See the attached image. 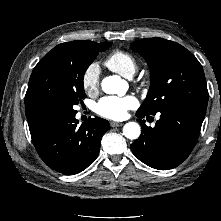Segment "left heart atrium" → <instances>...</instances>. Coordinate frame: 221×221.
<instances>
[{
    "mask_svg": "<svg viewBox=\"0 0 221 221\" xmlns=\"http://www.w3.org/2000/svg\"><path fill=\"white\" fill-rule=\"evenodd\" d=\"M138 105L137 99L132 95L105 96L95 105V112L107 119L121 120L127 116L129 110Z\"/></svg>",
    "mask_w": 221,
    "mask_h": 221,
    "instance_id": "left-heart-atrium-1",
    "label": "left heart atrium"
}]
</instances>
